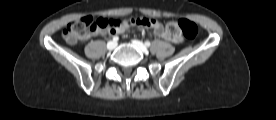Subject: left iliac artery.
Returning <instances> with one entry per match:
<instances>
[{
	"instance_id": "44dca946",
	"label": "left iliac artery",
	"mask_w": 276,
	"mask_h": 120,
	"mask_svg": "<svg viewBox=\"0 0 276 120\" xmlns=\"http://www.w3.org/2000/svg\"><path fill=\"white\" fill-rule=\"evenodd\" d=\"M145 45H146L147 47H149V46L151 45V43H150L149 41H145Z\"/></svg>"
}]
</instances>
